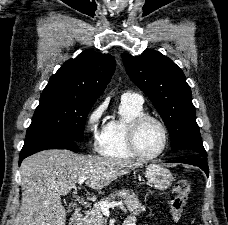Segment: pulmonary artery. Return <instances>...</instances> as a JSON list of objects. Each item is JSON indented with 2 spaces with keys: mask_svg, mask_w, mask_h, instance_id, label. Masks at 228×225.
<instances>
[{
  "mask_svg": "<svg viewBox=\"0 0 228 225\" xmlns=\"http://www.w3.org/2000/svg\"><path fill=\"white\" fill-rule=\"evenodd\" d=\"M121 101L126 103H132L138 106H142L144 103L143 96L138 92H125L121 95Z\"/></svg>",
  "mask_w": 228,
  "mask_h": 225,
  "instance_id": "pulmonary-artery-1",
  "label": "pulmonary artery"
}]
</instances>
